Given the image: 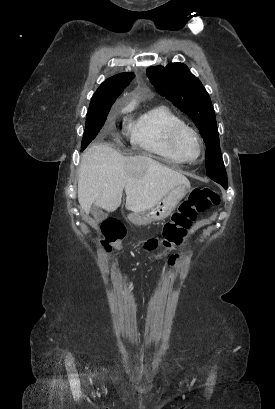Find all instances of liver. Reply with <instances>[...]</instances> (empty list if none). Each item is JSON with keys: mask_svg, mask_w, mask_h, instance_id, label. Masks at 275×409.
Listing matches in <instances>:
<instances>
[{"mask_svg": "<svg viewBox=\"0 0 275 409\" xmlns=\"http://www.w3.org/2000/svg\"><path fill=\"white\" fill-rule=\"evenodd\" d=\"M78 176V200L86 215L91 207L116 211L124 188L126 209L143 213L177 184H189L184 174L150 156H123L108 144H93L85 150Z\"/></svg>", "mask_w": 275, "mask_h": 409, "instance_id": "6515ba94", "label": "liver"}]
</instances>
